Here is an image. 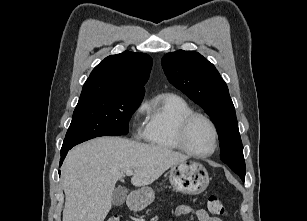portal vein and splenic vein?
<instances>
[{
    "label": "portal vein and splenic vein",
    "mask_w": 307,
    "mask_h": 221,
    "mask_svg": "<svg viewBox=\"0 0 307 221\" xmlns=\"http://www.w3.org/2000/svg\"><path fill=\"white\" fill-rule=\"evenodd\" d=\"M134 174V172L132 171V170H127L126 171V175L127 176H131V175H133Z\"/></svg>",
    "instance_id": "portal-vein-and-splenic-vein-1"
}]
</instances>
